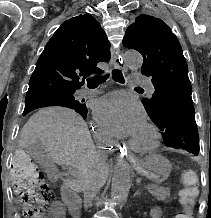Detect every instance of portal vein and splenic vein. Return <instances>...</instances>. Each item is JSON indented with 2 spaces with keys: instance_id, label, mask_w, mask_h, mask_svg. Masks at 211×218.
<instances>
[{
  "instance_id": "18ae733b",
  "label": "portal vein and splenic vein",
  "mask_w": 211,
  "mask_h": 218,
  "mask_svg": "<svg viewBox=\"0 0 211 218\" xmlns=\"http://www.w3.org/2000/svg\"><path fill=\"white\" fill-rule=\"evenodd\" d=\"M143 187H144V188H148V185H144Z\"/></svg>"
}]
</instances>
